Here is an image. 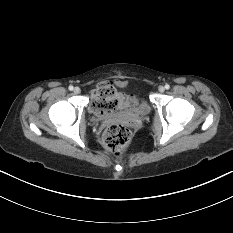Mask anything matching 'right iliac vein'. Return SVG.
<instances>
[{
  "label": "right iliac vein",
  "instance_id": "right-iliac-vein-1",
  "mask_svg": "<svg viewBox=\"0 0 233 233\" xmlns=\"http://www.w3.org/2000/svg\"><path fill=\"white\" fill-rule=\"evenodd\" d=\"M81 92V89L79 87L74 88V93L79 94Z\"/></svg>",
  "mask_w": 233,
  "mask_h": 233
}]
</instances>
